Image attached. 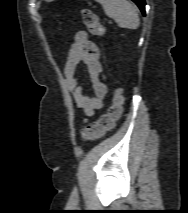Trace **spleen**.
Returning a JSON list of instances; mask_svg holds the SVG:
<instances>
[{"mask_svg": "<svg viewBox=\"0 0 188 213\" xmlns=\"http://www.w3.org/2000/svg\"><path fill=\"white\" fill-rule=\"evenodd\" d=\"M103 6L106 15L122 28L137 29L140 25L138 9L128 0H95Z\"/></svg>", "mask_w": 188, "mask_h": 213, "instance_id": "obj_1", "label": "spleen"}]
</instances>
